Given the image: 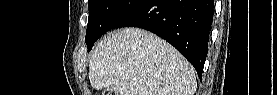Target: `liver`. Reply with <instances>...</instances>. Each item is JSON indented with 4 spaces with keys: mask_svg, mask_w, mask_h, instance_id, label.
I'll return each instance as SVG.
<instances>
[{
    "mask_svg": "<svg viewBox=\"0 0 277 95\" xmlns=\"http://www.w3.org/2000/svg\"><path fill=\"white\" fill-rule=\"evenodd\" d=\"M89 80L96 90L120 95H193V66L170 44L139 28L107 34L89 60Z\"/></svg>",
    "mask_w": 277,
    "mask_h": 95,
    "instance_id": "obj_1",
    "label": "liver"
}]
</instances>
